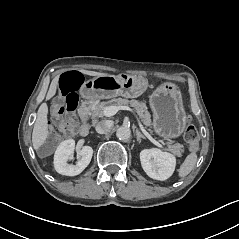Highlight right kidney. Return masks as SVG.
I'll return each mask as SVG.
<instances>
[{
    "instance_id": "1",
    "label": "right kidney",
    "mask_w": 239,
    "mask_h": 239,
    "mask_svg": "<svg viewBox=\"0 0 239 239\" xmlns=\"http://www.w3.org/2000/svg\"><path fill=\"white\" fill-rule=\"evenodd\" d=\"M76 150L74 140H67L62 142L54 157L55 169L58 173L66 176H76L80 174L90 163L93 155V148L91 146H83L79 152L81 158L77 160L75 165H69V155L73 154Z\"/></svg>"
}]
</instances>
